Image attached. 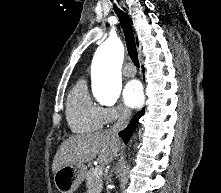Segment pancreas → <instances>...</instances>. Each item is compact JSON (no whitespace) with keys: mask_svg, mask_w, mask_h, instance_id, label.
Returning a JSON list of instances; mask_svg holds the SVG:
<instances>
[{"mask_svg":"<svg viewBox=\"0 0 221 193\" xmlns=\"http://www.w3.org/2000/svg\"><path fill=\"white\" fill-rule=\"evenodd\" d=\"M94 171L95 169L91 168L86 173L87 193H101L103 189L102 175H96Z\"/></svg>","mask_w":221,"mask_h":193,"instance_id":"cf45deb5","label":"pancreas"}]
</instances>
